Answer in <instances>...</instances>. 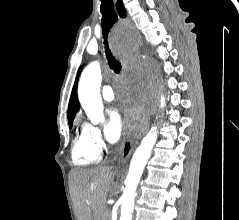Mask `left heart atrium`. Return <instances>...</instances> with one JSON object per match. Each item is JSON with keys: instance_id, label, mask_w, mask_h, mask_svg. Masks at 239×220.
<instances>
[{"instance_id": "39dd6f15", "label": "left heart atrium", "mask_w": 239, "mask_h": 220, "mask_svg": "<svg viewBox=\"0 0 239 220\" xmlns=\"http://www.w3.org/2000/svg\"><path fill=\"white\" fill-rule=\"evenodd\" d=\"M119 101L122 107V110L127 117L125 121L120 113L118 108H114L109 113V119L105 127V136L108 141L116 142L121 137L123 130L128 122H135L133 118L132 110L130 108V101L126 94H121L119 96Z\"/></svg>"}]
</instances>
